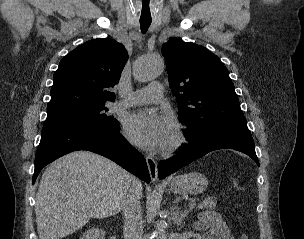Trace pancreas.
<instances>
[{"instance_id":"cf45deb5","label":"pancreas","mask_w":304,"mask_h":239,"mask_svg":"<svg viewBox=\"0 0 304 239\" xmlns=\"http://www.w3.org/2000/svg\"><path fill=\"white\" fill-rule=\"evenodd\" d=\"M216 204H217V200L215 197H207L203 202H201L198 205V208L199 209H204V208L213 209V208H215Z\"/></svg>"}]
</instances>
